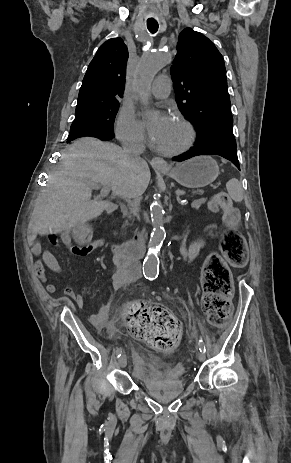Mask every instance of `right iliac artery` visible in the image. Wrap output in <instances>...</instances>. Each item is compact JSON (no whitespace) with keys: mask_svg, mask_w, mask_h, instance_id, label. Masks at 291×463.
<instances>
[{"mask_svg":"<svg viewBox=\"0 0 291 463\" xmlns=\"http://www.w3.org/2000/svg\"><path fill=\"white\" fill-rule=\"evenodd\" d=\"M149 280H151V279L149 278ZM121 354H122V349H121V348H118V349L116 350V355H117V357H120Z\"/></svg>","mask_w":291,"mask_h":463,"instance_id":"right-iliac-artery-1","label":"right iliac artery"}]
</instances>
